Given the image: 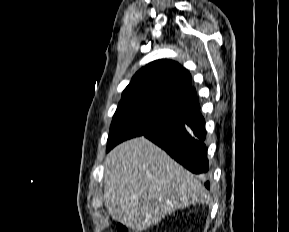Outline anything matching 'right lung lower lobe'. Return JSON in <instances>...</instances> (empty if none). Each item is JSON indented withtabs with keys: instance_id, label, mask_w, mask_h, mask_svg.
I'll use <instances>...</instances> for the list:
<instances>
[{
	"instance_id": "right-lung-lower-lobe-1",
	"label": "right lung lower lobe",
	"mask_w": 289,
	"mask_h": 232,
	"mask_svg": "<svg viewBox=\"0 0 289 232\" xmlns=\"http://www.w3.org/2000/svg\"><path fill=\"white\" fill-rule=\"evenodd\" d=\"M143 135L191 172H208L205 120L199 109L185 112L178 119ZM206 187L209 188V182H206Z\"/></svg>"
}]
</instances>
